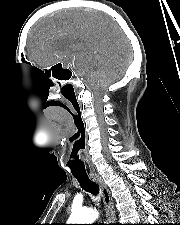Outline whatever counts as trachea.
Instances as JSON below:
<instances>
[{"label": "trachea", "instance_id": "3493384b", "mask_svg": "<svg viewBox=\"0 0 180 225\" xmlns=\"http://www.w3.org/2000/svg\"><path fill=\"white\" fill-rule=\"evenodd\" d=\"M82 189L85 191L97 195L99 193V186L93 182L88 175L75 176Z\"/></svg>", "mask_w": 180, "mask_h": 225}]
</instances>
